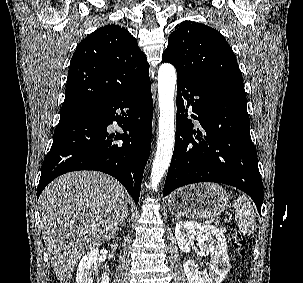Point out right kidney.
Returning <instances> with one entry per match:
<instances>
[{
	"instance_id": "right-kidney-1",
	"label": "right kidney",
	"mask_w": 303,
	"mask_h": 283,
	"mask_svg": "<svg viewBox=\"0 0 303 283\" xmlns=\"http://www.w3.org/2000/svg\"><path fill=\"white\" fill-rule=\"evenodd\" d=\"M117 245L112 244L111 247L115 248ZM99 264V250L97 248L90 250L83 258L80 260L77 273L76 282L77 283H93L92 275L97 271ZM98 283H109V277L103 275Z\"/></svg>"
}]
</instances>
